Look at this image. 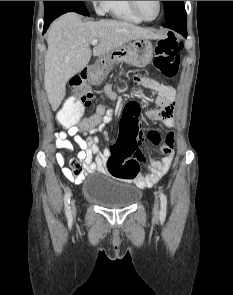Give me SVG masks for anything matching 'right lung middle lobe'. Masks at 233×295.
<instances>
[{
	"mask_svg": "<svg viewBox=\"0 0 233 295\" xmlns=\"http://www.w3.org/2000/svg\"><path fill=\"white\" fill-rule=\"evenodd\" d=\"M59 2H63V1H44V6L53 5Z\"/></svg>",
	"mask_w": 233,
	"mask_h": 295,
	"instance_id": "right-lung-middle-lobe-1",
	"label": "right lung middle lobe"
}]
</instances>
